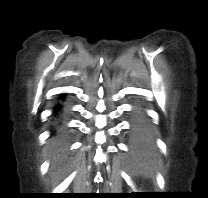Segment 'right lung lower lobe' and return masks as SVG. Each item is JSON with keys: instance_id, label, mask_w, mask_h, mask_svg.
Segmentation results:
<instances>
[{"instance_id": "obj_1", "label": "right lung lower lobe", "mask_w": 208, "mask_h": 198, "mask_svg": "<svg viewBox=\"0 0 208 198\" xmlns=\"http://www.w3.org/2000/svg\"><path fill=\"white\" fill-rule=\"evenodd\" d=\"M60 108H61V106H60V105H58V106H57V109H60ZM59 152H61V151H59Z\"/></svg>"}]
</instances>
